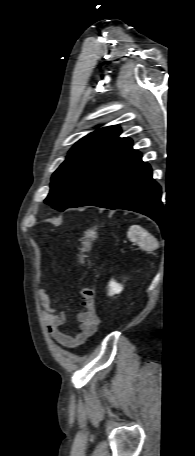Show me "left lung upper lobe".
I'll return each mask as SVG.
<instances>
[{
    "label": "left lung upper lobe",
    "mask_w": 195,
    "mask_h": 456,
    "mask_svg": "<svg viewBox=\"0 0 195 456\" xmlns=\"http://www.w3.org/2000/svg\"><path fill=\"white\" fill-rule=\"evenodd\" d=\"M121 130L109 126L80 139L51 178L45 203L64 211L79 207L104 184L132 145L120 138Z\"/></svg>",
    "instance_id": "left-lung-upper-lobe-1"
}]
</instances>
